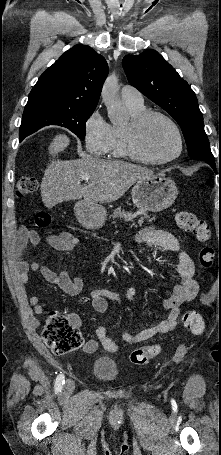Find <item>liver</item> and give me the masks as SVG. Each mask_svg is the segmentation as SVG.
Returning <instances> with one entry per match:
<instances>
[{
    "mask_svg": "<svg viewBox=\"0 0 221 455\" xmlns=\"http://www.w3.org/2000/svg\"><path fill=\"white\" fill-rule=\"evenodd\" d=\"M69 143L66 135L59 134L48 147L52 160L45 169L41 183L42 201L48 209L61 202L81 198L91 204L113 202L140 179L154 175L150 169L125 162L97 158L58 159V154ZM84 174L91 176L88 184L80 182V176Z\"/></svg>",
    "mask_w": 221,
    "mask_h": 455,
    "instance_id": "1",
    "label": "liver"
}]
</instances>
